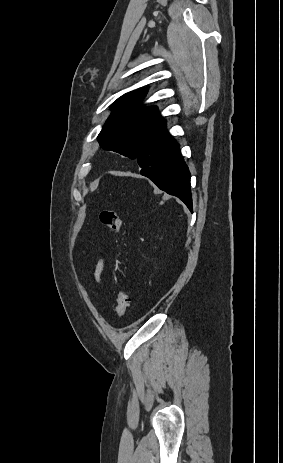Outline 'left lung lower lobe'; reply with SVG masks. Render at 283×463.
Returning a JSON list of instances; mask_svg holds the SVG:
<instances>
[{
    "label": "left lung lower lobe",
    "instance_id": "0a47b994",
    "mask_svg": "<svg viewBox=\"0 0 283 463\" xmlns=\"http://www.w3.org/2000/svg\"><path fill=\"white\" fill-rule=\"evenodd\" d=\"M141 175L152 180L161 190L181 199L192 211L190 172L178 143L166 127L159 132L136 159Z\"/></svg>",
    "mask_w": 283,
    "mask_h": 463
}]
</instances>
